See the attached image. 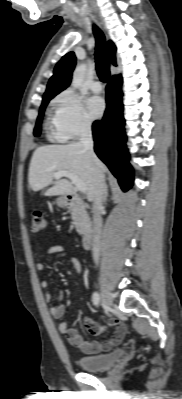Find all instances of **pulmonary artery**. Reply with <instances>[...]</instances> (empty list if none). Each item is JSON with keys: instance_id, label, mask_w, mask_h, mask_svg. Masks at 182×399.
Masks as SVG:
<instances>
[{"instance_id": "pulmonary-artery-1", "label": "pulmonary artery", "mask_w": 182, "mask_h": 399, "mask_svg": "<svg viewBox=\"0 0 182 399\" xmlns=\"http://www.w3.org/2000/svg\"><path fill=\"white\" fill-rule=\"evenodd\" d=\"M90 89L94 92V93H100L102 91V85L100 82L98 81H93L90 84Z\"/></svg>"}]
</instances>
